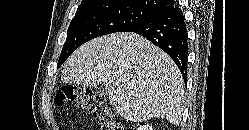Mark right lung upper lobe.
<instances>
[{"label": "right lung upper lobe", "mask_w": 249, "mask_h": 130, "mask_svg": "<svg viewBox=\"0 0 249 130\" xmlns=\"http://www.w3.org/2000/svg\"><path fill=\"white\" fill-rule=\"evenodd\" d=\"M104 1L131 4L145 10L153 11L158 15L163 14L174 7V1L171 0H82L80 6Z\"/></svg>", "instance_id": "obj_1"}]
</instances>
